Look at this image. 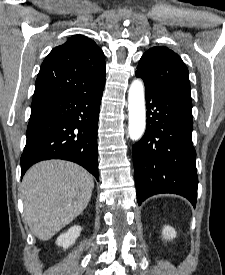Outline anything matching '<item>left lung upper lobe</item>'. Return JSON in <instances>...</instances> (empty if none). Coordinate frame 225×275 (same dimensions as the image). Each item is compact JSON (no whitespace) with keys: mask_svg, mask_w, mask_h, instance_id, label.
Returning <instances> with one entry per match:
<instances>
[{"mask_svg":"<svg viewBox=\"0 0 225 275\" xmlns=\"http://www.w3.org/2000/svg\"><path fill=\"white\" fill-rule=\"evenodd\" d=\"M136 74L144 82L192 104L188 69L180 56L167 47L149 49L141 57Z\"/></svg>","mask_w":225,"mask_h":275,"instance_id":"obj_1","label":"left lung upper lobe"}]
</instances>
